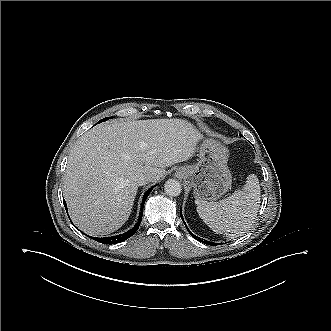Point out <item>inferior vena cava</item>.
Here are the masks:
<instances>
[{"instance_id": "1", "label": "inferior vena cava", "mask_w": 331, "mask_h": 331, "mask_svg": "<svg viewBox=\"0 0 331 331\" xmlns=\"http://www.w3.org/2000/svg\"><path fill=\"white\" fill-rule=\"evenodd\" d=\"M153 176L150 175V174H143L141 176H139L137 179H136V183L138 184V186H142V185H145L147 183H150L153 181Z\"/></svg>"}]
</instances>
